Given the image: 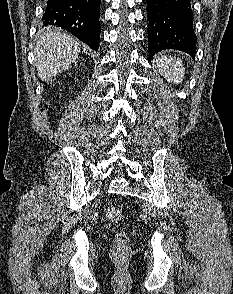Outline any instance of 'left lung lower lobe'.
<instances>
[{
    "label": "left lung lower lobe",
    "instance_id": "0a47b994",
    "mask_svg": "<svg viewBox=\"0 0 233 294\" xmlns=\"http://www.w3.org/2000/svg\"><path fill=\"white\" fill-rule=\"evenodd\" d=\"M149 58L164 49L184 51L194 58L196 35L190 0H146Z\"/></svg>",
    "mask_w": 233,
    "mask_h": 294
}]
</instances>
